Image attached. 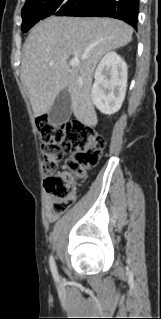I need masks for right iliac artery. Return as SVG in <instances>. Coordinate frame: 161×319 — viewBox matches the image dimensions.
<instances>
[{
	"label": "right iliac artery",
	"mask_w": 161,
	"mask_h": 319,
	"mask_svg": "<svg viewBox=\"0 0 161 319\" xmlns=\"http://www.w3.org/2000/svg\"><path fill=\"white\" fill-rule=\"evenodd\" d=\"M49 263H50V269H51L53 278L55 279V281H59V275H58V272H57V267H56V264H55V261H54V258H53L52 255L50 256Z\"/></svg>",
	"instance_id": "82829eb1"
}]
</instances>
